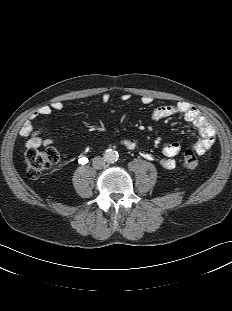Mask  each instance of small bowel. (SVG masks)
I'll use <instances>...</instances> for the list:
<instances>
[{
  "label": "small bowel",
  "instance_id": "1",
  "mask_svg": "<svg viewBox=\"0 0 232 311\" xmlns=\"http://www.w3.org/2000/svg\"><path fill=\"white\" fill-rule=\"evenodd\" d=\"M110 95L105 93L102 95V101L108 102ZM123 101L130 99L129 94H123L121 96ZM143 104H150L152 98L150 96H143L141 98ZM64 109V103L60 100H53L47 105L41 106L37 112L33 113L29 119H27L21 129L20 134L25 139V146L29 149H36L41 146L49 147L55 144V141L51 138L42 137V129L35 128L33 121L39 117H48L54 112H60ZM181 115L184 120L192 124L198 131L200 138L193 145V149L198 154H205L209 151L216 140V132L213 125L208 119L201 114V112L186 103H177L174 105H163L155 108L152 112V118L154 120H160L166 117ZM121 144L130 150L137 148V142L130 138H123ZM180 152V146L177 143L167 144L162 150V156L158 158L160 165L167 170H172L176 167V161L174 157ZM142 158L152 161L155 157L146 151L141 152Z\"/></svg>",
  "mask_w": 232,
  "mask_h": 311
}]
</instances>
